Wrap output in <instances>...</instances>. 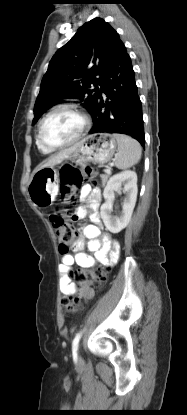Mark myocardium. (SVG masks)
Listing matches in <instances>:
<instances>
[{"label": "myocardium", "instance_id": "myocardium-1", "mask_svg": "<svg viewBox=\"0 0 187 415\" xmlns=\"http://www.w3.org/2000/svg\"><path fill=\"white\" fill-rule=\"evenodd\" d=\"M59 110H71V111L75 112L81 118L82 126H81V129L79 130L78 134L72 140H70L66 143L60 144V145H50V144H47L42 138V127H43V124L46 121V119L49 116H51L53 113H55ZM89 126H90V120H89L88 116L78 106H76L74 104H71V103L58 104V105L52 107L39 121L38 128H37V141L39 142V144L41 146H43L44 148H46L48 150H51V151L63 149V148L69 147V146L77 143L85 135V133L88 130Z\"/></svg>", "mask_w": 187, "mask_h": 415}]
</instances>
